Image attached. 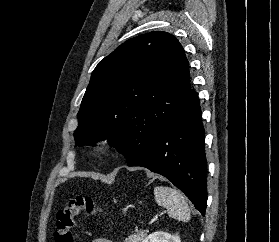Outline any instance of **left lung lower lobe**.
<instances>
[{
    "mask_svg": "<svg viewBox=\"0 0 279 242\" xmlns=\"http://www.w3.org/2000/svg\"><path fill=\"white\" fill-rule=\"evenodd\" d=\"M204 138L199 98L190 89L166 127L127 165L145 167L168 178L204 215L207 203Z\"/></svg>",
    "mask_w": 279,
    "mask_h": 242,
    "instance_id": "1",
    "label": "left lung lower lobe"
}]
</instances>
